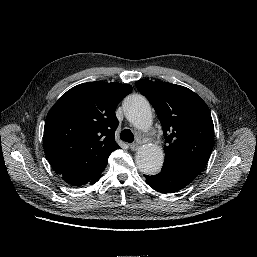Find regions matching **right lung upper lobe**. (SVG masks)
<instances>
[{"instance_id":"1","label":"right lung upper lobe","mask_w":257,"mask_h":257,"mask_svg":"<svg viewBox=\"0 0 257 257\" xmlns=\"http://www.w3.org/2000/svg\"><path fill=\"white\" fill-rule=\"evenodd\" d=\"M131 85L88 82L68 90L50 109L44 126V151L63 180L81 186L101 175L115 142L118 103Z\"/></svg>"}]
</instances>
